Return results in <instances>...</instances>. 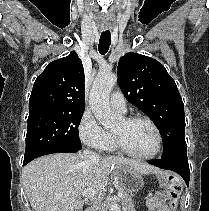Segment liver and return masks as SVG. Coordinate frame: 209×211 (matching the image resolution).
I'll list each match as a JSON object with an SVG mask.
<instances>
[{"label": "liver", "instance_id": "liver-1", "mask_svg": "<svg viewBox=\"0 0 209 211\" xmlns=\"http://www.w3.org/2000/svg\"><path fill=\"white\" fill-rule=\"evenodd\" d=\"M127 167L138 174L158 173L156 167L125 158L87 160L83 154H51L39 157L23 169V184L34 211H80L86 189L99 191L109 174Z\"/></svg>", "mask_w": 209, "mask_h": 211}]
</instances>
